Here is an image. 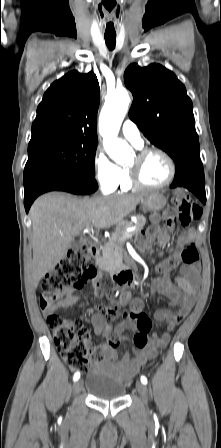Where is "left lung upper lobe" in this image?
<instances>
[{
  "label": "left lung upper lobe",
  "instance_id": "left-lung-upper-lobe-1",
  "mask_svg": "<svg viewBox=\"0 0 221 448\" xmlns=\"http://www.w3.org/2000/svg\"><path fill=\"white\" fill-rule=\"evenodd\" d=\"M124 82L133 95L130 119L148 140L170 155L176 169L200 162L192 101L176 75L160 64H131Z\"/></svg>",
  "mask_w": 221,
  "mask_h": 448
}]
</instances>
